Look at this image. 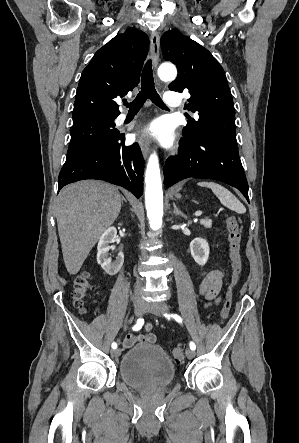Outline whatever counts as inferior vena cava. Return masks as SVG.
Listing matches in <instances>:
<instances>
[{
  "label": "inferior vena cava",
  "instance_id": "1",
  "mask_svg": "<svg viewBox=\"0 0 299 443\" xmlns=\"http://www.w3.org/2000/svg\"><path fill=\"white\" fill-rule=\"evenodd\" d=\"M135 295L139 296L142 293V285L141 282L139 280H137L136 285H135Z\"/></svg>",
  "mask_w": 299,
  "mask_h": 443
}]
</instances>
